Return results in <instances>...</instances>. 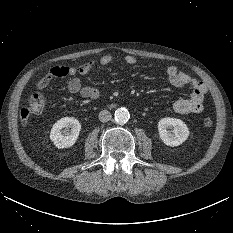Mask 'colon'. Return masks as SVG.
I'll return each instance as SVG.
<instances>
[{
  "label": "colon",
  "mask_w": 233,
  "mask_h": 233,
  "mask_svg": "<svg viewBox=\"0 0 233 233\" xmlns=\"http://www.w3.org/2000/svg\"><path fill=\"white\" fill-rule=\"evenodd\" d=\"M45 107V100L42 95L38 93L32 94L26 105L20 111L21 120L26 123L31 117L39 116ZM205 127H211L213 125V120L210 117H206L203 120Z\"/></svg>",
  "instance_id": "colon-1"
}]
</instances>
